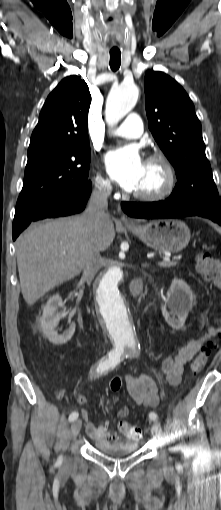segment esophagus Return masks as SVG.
<instances>
[{
	"label": "esophagus",
	"instance_id": "1",
	"mask_svg": "<svg viewBox=\"0 0 221 510\" xmlns=\"http://www.w3.org/2000/svg\"><path fill=\"white\" fill-rule=\"evenodd\" d=\"M120 221L124 224H133V220L130 219L127 215L121 214L120 215Z\"/></svg>",
	"mask_w": 221,
	"mask_h": 510
}]
</instances>
